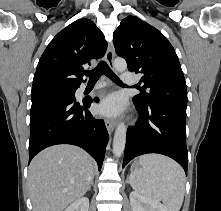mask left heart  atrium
Segmentation results:
<instances>
[{
  "label": "left heart atrium",
  "instance_id": "left-heart-atrium-1",
  "mask_svg": "<svg viewBox=\"0 0 221 211\" xmlns=\"http://www.w3.org/2000/svg\"><path fill=\"white\" fill-rule=\"evenodd\" d=\"M124 109L122 98L118 94H110L106 96L98 105V111L105 116H117Z\"/></svg>",
  "mask_w": 221,
  "mask_h": 211
}]
</instances>
